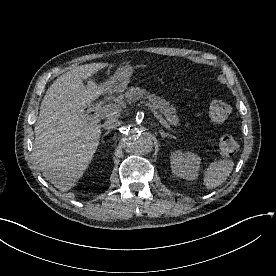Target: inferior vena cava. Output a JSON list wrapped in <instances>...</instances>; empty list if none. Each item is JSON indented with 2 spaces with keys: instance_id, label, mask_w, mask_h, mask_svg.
Segmentation results:
<instances>
[{
  "instance_id": "602c4592",
  "label": "inferior vena cava",
  "mask_w": 276,
  "mask_h": 276,
  "mask_svg": "<svg viewBox=\"0 0 276 276\" xmlns=\"http://www.w3.org/2000/svg\"><path fill=\"white\" fill-rule=\"evenodd\" d=\"M120 125H121V121L115 118H111L105 121V123L103 124V128L110 130V129H115Z\"/></svg>"
}]
</instances>
